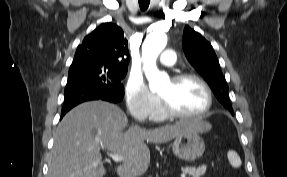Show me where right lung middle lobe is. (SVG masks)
<instances>
[{
  "instance_id": "dd1d6c3e",
  "label": "right lung middle lobe",
  "mask_w": 287,
  "mask_h": 177,
  "mask_svg": "<svg viewBox=\"0 0 287 177\" xmlns=\"http://www.w3.org/2000/svg\"><path fill=\"white\" fill-rule=\"evenodd\" d=\"M126 73L127 70L117 69L101 63L72 64L69 69L67 83L85 80L106 85H122L121 80L125 77Z\"/></svg>"
}]
</instances>
